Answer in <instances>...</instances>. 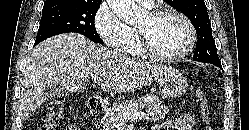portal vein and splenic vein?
<instances>
[{"label":"portal vein and splenic vein","instance_id":"1","mask_svg":"<svg viewBox=\"0 0 249 130\" xmlns=\"http://www.w3.org/2000/svg\"><path fill=\"white\" fill-rule=\"evenodd\" d=\"M92 81L96 84L101 83V80L98 79H93ZM118 117L122 122H126L128 120H141L147 118V114L145 112H122L118 114Z\"/></svg>","mask_w":249,"mask_h":130}]
</instances>
